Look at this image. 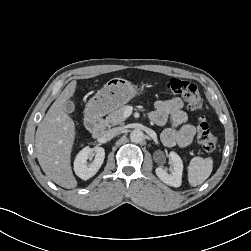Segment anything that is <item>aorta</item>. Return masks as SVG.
Here are the masks:
<instances>
[{
    "label": "aorta",
    "mask_w": 251,
    "mask_h": 251,
    "mask_svg": "<svg viewBox=\"0 0 251 251\" xmlns=\"http://www.w3.org/2000/svg\"><path fill=\"white\" fill-rule=\"evenodd\" d=\"M144 139V133L140 129H134L130 133V140L134 143H140Z\"/></svg>",
    "instance_id": "762f6f07"
}]
</instances>
